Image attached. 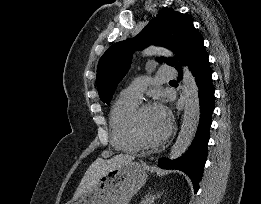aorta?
<instances>
[{
    "mask_svg": "<svg viewBox=\"0 0 261 204\" xmlns=\"http://www.w3.org/2000/svg\"><path fill=\"white\" fill-rule=\"evenodd\" d=\"M143 53L146 56H173L171 51L153 46L147 48ZM182 70L185 107L180 132L169 154L171 160L179 158L188 149L196 134L200 119L199 90L195 77L187 66H183Z\"/></svg>",
    "mask_w": 261,
    "mask_h": 204,
    "instance_id": "obj_1",
    "label": "aorta"
}]
</instances>
